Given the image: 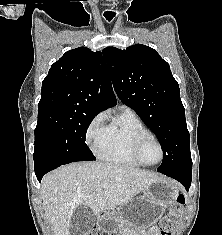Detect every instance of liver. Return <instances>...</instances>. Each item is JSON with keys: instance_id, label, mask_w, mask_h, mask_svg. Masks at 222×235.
<instances>
[{"instance_id": "1", "label": "liver", "mask_w": 222, "mask_h": 235, "mask_svg": "<svg viewBox=\"0 0 222 235\" xmlns=\"http://www.w3.org/2000/svg\"><path fill=\"white\" fill-rule=\"evenodd\" d=\"M162 179L157 173L116 163H72L43 177L42 207L54 235H70L71 217L80 205L99 218ZM103 183L108 187L102 188Z\"/></svg>"}]
</instances>
